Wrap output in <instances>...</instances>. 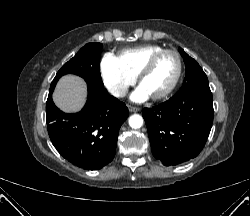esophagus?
Wrapping results in <instances>:
<instances>
[{
  "label": "esophagus",
  "instance_id": "34e87169",
  "mask_svg": "<svg viewBox=\"0 0 250 216\" xmlns=\"http://www.w3.org/2000/svg\"><path fill=\"white\" fill-rule=\"evenodd\" d=\"M128 109L130 112H138L140 110L138 107H134L131 105L128 106Z\"/></svg>",
  "mask_w": 250,
  "mask_h": 216
}]
</instances>
